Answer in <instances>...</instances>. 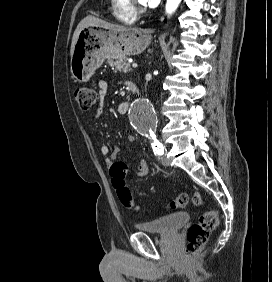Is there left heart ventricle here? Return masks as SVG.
Returning a JSON list of instances; mask_svg holds the SVG:
<instances>
[{
  "instance_id": "left-heart-ventricle-1",
  "label": "left heart ventricle",
  "mask_w": 272,
  "mask_h": 282,
  "mask_svg": "<svg viewBox=\"0 0 272 282\" xmlns=\"http://www.w3.org/2000/svg\"><path fill=\"white\" fill-rule=\"evenodd\" d=\"M139 4H142L143 5V1L142 0H138Z\"/></svg>"
}]
</instances>
